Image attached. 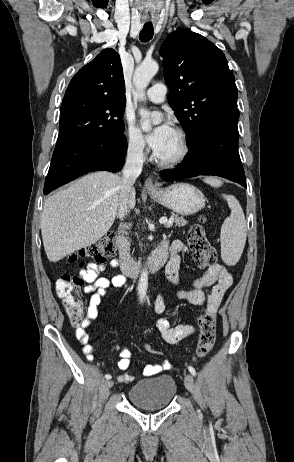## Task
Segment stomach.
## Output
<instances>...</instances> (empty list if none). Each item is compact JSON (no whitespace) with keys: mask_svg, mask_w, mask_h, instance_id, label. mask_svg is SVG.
Instances as JSON below:
<instances>
[{"mask_svg":"<svg viewBox=\"0 0 294 462\" xmlns=\"http://www.w3.org/2000/svg\"><path fill=\"white\" fill-rule=\"evenodd\" d=\"M151 198L170 210L183 215H192L205 206L203 193L187 183H177L158 191L149 192Z\"/></svg>","mask_w":294,"mask_h":462,"instance_id":"0dacf381","label":"stomach"}]
</instances>
